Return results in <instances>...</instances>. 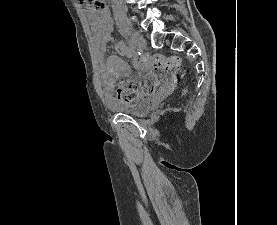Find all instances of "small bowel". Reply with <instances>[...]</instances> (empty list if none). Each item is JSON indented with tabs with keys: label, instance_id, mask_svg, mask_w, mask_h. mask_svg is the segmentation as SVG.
I'll return each mask as SVG.
<instances>
[{
	"label": "small bowel",
	"instance_id": "1",
	"mask_svg": "<svg viewBox=\"0 0 277 225\" xmlns=\"http://www.w3.org/2000/svg\"><path fill=\"white\" fill-rule=\"evenodd\" d=\"M93 31V46L99 62L102 85L105 89L113 83L129 74L130 66L122 57H132V51L123 41L115 43V50L120 56L112 55L105 59L106 43L111 40L113 23L107 9L99 12L90 10L89 14ZM173 77L164 76L163 82L166 87L174 84Z\"/></svg>",
	"mask_w": 277,
	"mask_h": 225
}]
</instances>
